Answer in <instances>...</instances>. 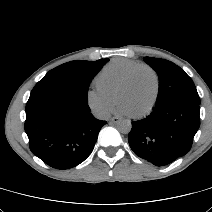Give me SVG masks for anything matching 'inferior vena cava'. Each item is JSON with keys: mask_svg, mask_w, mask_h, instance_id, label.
I'll use <instances>...</instances> for the list:
<instances>
[{"mask_svg": "<svg viewBox=\"0 0 212 212\" xmlns=\"http://www.w3.org/2000/svg\"><path fill=\"white\" fill-rule=\"evenodd\" d=\"M95 116L98 118V119H102V120H106L109 118V113L107 111H104V110H98V111H95Z\"/></svg>", "mask_w": 212, "mask_h": 212, "instance_id": "602c4592", "label": "inferior vena cava"}]
</instances>
